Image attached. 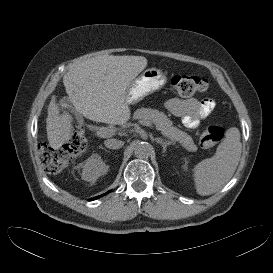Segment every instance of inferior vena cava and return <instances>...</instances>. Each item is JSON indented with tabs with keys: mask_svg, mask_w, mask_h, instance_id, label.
<instances>
[{
	"mask_svg": "<svg viewBox=\"0 0 273 273\" xmlns=\"http://www.w3.org/2000/svg\"><path fill=\"white\" fill-rule=\"evenodd\" d=\"M105 146L110 149H119L124 145V142L117 139H107L104 142Z\"/></svg>",
	"mask_w": 273,
	"mask_h": 273,
	"instance_id": "inferior-vena-cava-1",
	"label": "inferior vena cava"
}]
</instances>
